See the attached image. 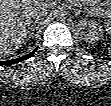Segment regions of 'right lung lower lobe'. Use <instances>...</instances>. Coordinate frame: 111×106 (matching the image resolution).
Wrapping results in <instances>:
<instances>
[{"instance_id": "obj_1", "label": "right lung lower lobe", "mask_w": 111, "mask_h": 106, "mask_svg": "<svg viewBox=\"0 0 111 106\" xmlns=\"http://www.w3.org/2000/svg\"><path fill=\"white\" fill-rule=\"evenodd\" d=\"M36 50H37V48L34 51H32L31 53H29L23 57H20V58L7 60V61H0V65H9V64H14V63H18L20 61L26 60V59L30 58L35 53Z\"/></svg>"}]
</instances>
